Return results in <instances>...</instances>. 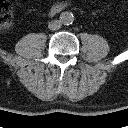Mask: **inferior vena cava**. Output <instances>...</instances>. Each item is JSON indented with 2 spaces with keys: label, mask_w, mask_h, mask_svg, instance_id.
Here are the masks:
<instances>
[{
  "label": "inferior vena cava",
  "mask_w": 128,
  "mask_h": 128,
  "mask_svg": "<svg viewBox=\"0 0 128 128\" xmlns=\"http://www.w3.org/2000/svg\"><path fill=\"white\" fill-rule=\"evenodd\" d=\"M60 27H61V22L59 20H53L48 24V28L52 31L58 30Z\"/></svg>",
  "instance_id": "inferior-vena-cava-1"
}]
</instances>
